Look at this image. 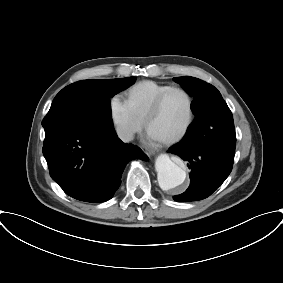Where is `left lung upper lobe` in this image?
I'll return each mask as SVG.
<instances>
[{
	"label": "left lung upper lobe",
	"mask_w": 283,
	"mask_h": 283,
	"mask_svg": "<svg viewBox=\"0 0 283 283\" xmlns=\"http://www.w3.org/2000/svg\"><path fill=\"white\" fill-rule=\"evenodd\" d=\"M173 80L179 83L186 92L194 97L191 103L192 111L195 115V120L199 115L207 112L209 122L207 123V131L205 133L207 140L211 143L220 145L233 146L236 144V134L232 113L226 102L221 111L214 108V101H224L220 92L211 84L200 79L183 76L175 77Z\"/></svg>",
	"instance_id": "5c2ea615"
}]
</instances>
